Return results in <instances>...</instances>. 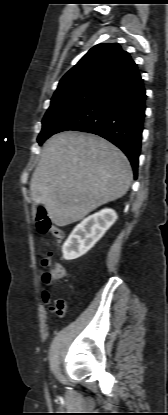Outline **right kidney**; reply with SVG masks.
I'll return each instance as SVG.
<instances>
[{
    "instance_id": "ca27d5eb",
    "label": "right kidney",
    "mask_w": 168,
    "mask_h": 415,
    "mask_svg": "<svg viewBox=\"0 0 168 415\" xmlns=\"http://www.w3.org/2000/svg\"><path fill=\"white\" fill-rule=\"evenodd\" d=\"M116 219V212L108 208L85 218L73 229L63 244V258L73 260L84 255L114 224Z\"/></svg>"
}]
</instances>
